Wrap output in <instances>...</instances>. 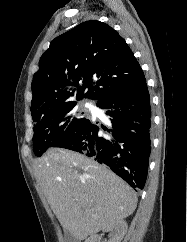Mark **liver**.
<instances>
[{
	"instance_id": "6515ba94",
	"label": "liver",
	"mask_w": 187,
	"mask_h": 242,
	"mask_svg": "<svg viewBox=\"0 0 187 242\" xmlns=\"http://www.w3.org/2000/svg\"><path fill=\"white\" fill-rule=\"evenodd\" d=\"M34 175L65 231L78 241L130 216L133 189L104 165L76 152L50 149Z\"/></svg>"
}]
</instances>
